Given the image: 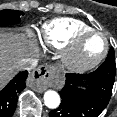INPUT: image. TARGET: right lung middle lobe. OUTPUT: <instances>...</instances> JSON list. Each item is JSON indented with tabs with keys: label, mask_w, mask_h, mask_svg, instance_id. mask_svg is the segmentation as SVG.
I'll return each instance as SVG.
<instances>
[{
	"label": "right lung middle lobe",
	"mask_w": 117,
	"mask_h": 117,
	"mask_svg": "<svg viewBox=\"0 0 117 117\" xmlns=\"http://www.w3.org/2000/svg\"><path fill=\"white\" fill-rule=\"evenodd\" d=\"M24 13L18 10H2L0 11V27L18 24L20 16Z\"/></svg>",
	"instance_id": "1"
}]
</instances>
